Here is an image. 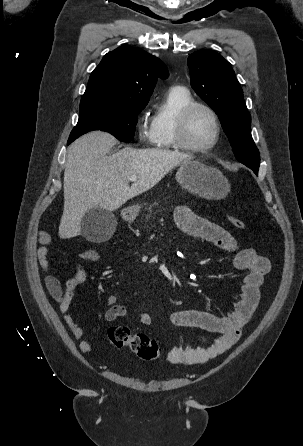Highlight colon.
Masks as SVG:
<instances>
[{
    "label": "colon",
    "mask_w": 303,
    "mask_h": 446,
    "mask_svg": "<svg viewBox=\"0 0 303 446\" xmlns=\"http://www.w3.org/2000/svg\"><path fill=\"white\" fill-rule=\"evenodd\" d=\"M228 220L236 229L243 230L245 223L238 217L229 215ZM84 260L95 262L100 259V252L89 249L82 253ZM108 342L115 347H128L139 358L145 361H153L159 357L160 348L157 342L143 333H131L126 326H112L107 332Z\"/></svg>",
    "instance_id": "obj_1"
}]
</instances>
